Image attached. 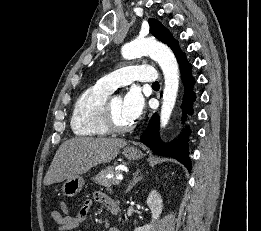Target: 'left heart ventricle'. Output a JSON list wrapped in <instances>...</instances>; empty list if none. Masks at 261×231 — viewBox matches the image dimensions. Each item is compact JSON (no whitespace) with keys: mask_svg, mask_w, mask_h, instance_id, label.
Returning a JSON list of instances; mask_svg holds the SVG:
<instances>
[{"mask_svg":"<svg viewBox=\"0 0 261 231\" xmlns=\"http://www.w3.org/2000/svg\"><path fill=\"white\" fill-rule=\"evenodd\" d=\"M112 110L115 120L120 125H128L132 123V121L127 117L124 111L123 99L121 97H114L112 99Z\"/></svg>","mask_w":261,"mask_h":231,"instance_id":"b2bd125f","label":"left heart ventricle"}]
</instances>
